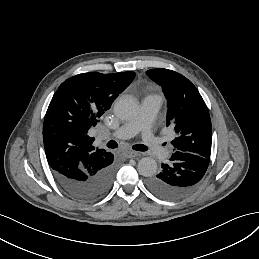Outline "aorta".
Masks as SVG:
<instances>
[{
    "label": "aorta",
    "mask_w": 259,
    "mask_h": 259,
    "mask_svg": "<svg viewBox=\"0 0 259 259\" xmlns=\"http://www.w3.org/2000/svg\"><path fill=\"white\" fill-rule=\"evenodd\" d=\"M138 102L131 96L119 97L114 104V113L121 120L133 119L138 113ZM139 174L145 177L154 176L157 172V163L151 157L139 160L137 166Z\"/></svg>",
    "instance_id": "1"
}]
</instances>
